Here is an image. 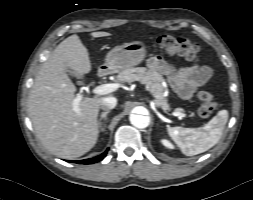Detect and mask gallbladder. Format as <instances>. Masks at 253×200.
<instances>
[{
	"instance_id": "gallbladder-1",
	"label": "gallbladder",
	"mask_w": 253,
	"mask_h": 200,
	"mask_svg": "<svg viewBox=\"0 0 253 200\" xmlns=\"http://www.w3.org/2000/svg\"><path fill=\"white\" fill-rule=\"evenodd\" d=\"M67 73H68L69 75H71V76L81 77V75L77 74L74 70H72V69H70V68L67 70Z\"/></svg>"
}]
</instances>
